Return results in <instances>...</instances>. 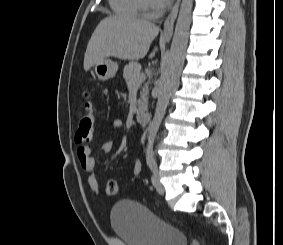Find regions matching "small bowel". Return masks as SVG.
Returning a JSON list of instances; mask_svg holds the SVG:
<instances>
[{
    "label": "small bowel",
    "mask_w": 283,
    "mask_h": 245,
    "mask_svg": "<svg viewBox=\"0 0 283 245\" xmlns=\"http://www.w3.org/2000/svg\"><path fill=\"white\" fill-rule=\"evenodd\" d=\"M111 127L113 130L121 129L123 127V121L121 119H115L112 122ZM108 136L109 134H106L105 138H107ZM112 148H113L112 141L106 139L102 145L103 151L105 153H109L111 152ZM77 157L82 170L88 176V184L90 186V189L94 193L97 194L100 193L101 190L95 173V161L92 155V148L90 146H80L77 149ZM141 170H142L141 162L138 159H135L132 169L133 174L139 175L141 173Z\"/></svg>",
    "instance_id": "small-bowel-1"
}]
</instances>
